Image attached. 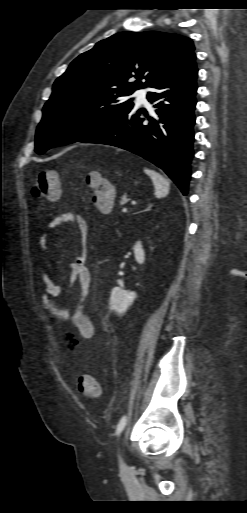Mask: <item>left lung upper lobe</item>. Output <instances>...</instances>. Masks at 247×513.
<instances>
[{"label":"left lung upper lobe","mask_w":247,"mask_h":513,"mask_svg":"<svg viewBox=\"0 0 247 513\" xmlns=\"http://www.w3.org/2000/svg\"><path fill=\"white\" fill-rule=\"evenodd\" d=\"M194 49L190 38L158 31L121 32L98 42L55 81L35 151L43 154L109 127L133 108L126 96L175 75L196 57Z\"/></svg>","instance_id":"1"}]
</instances>
